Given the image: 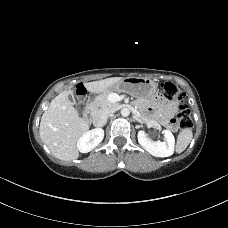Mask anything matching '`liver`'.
Returning a JSON list of instances; mask_svg holds the SVG:
<instances>
[{
    "label": "liver",
    "instance_id": "liver-1",
    "mask_svg": "<svg viewBox=\"0 0 228 228\" xmlns=\"http://www.w3.org/2000/svg\"><path fill=\"white\" fill-rule=\"evenodd\" d=\"M122 79V77H111L85 83L84 86L87 91L98 94ZM70 94L71 87L51 101L41 117L39 127L44 144L56 158L63 161H71L79 157L77 142L90 127L86 120L79 117L78 111L68 98Z\"/></svg>",
    "mask_w": 228,
    "mask_h": 228
}]
</instances>
